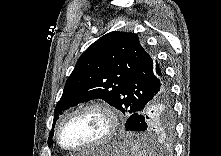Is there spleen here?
I'll return each mask as SVG.
<instances>
[{
	"label": "spleen",
	"mask_w": 221,
	"mask_h": 156,
	"mask_svg": "<svg viewBox=\"0 0 221 156\" xmlns=\"http://www.w3.org/2000/svg\"><path fill=\"white\" fill-rule=\"evenodd\" d=\"M129 146L131 156H154V151L149 147L143 137L125 141Z\"/></svg>",
	"instance_id": "3e777b00"
}]
</instances>
